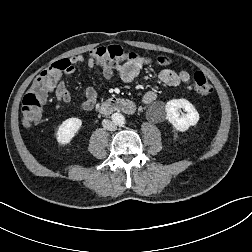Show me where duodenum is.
I'll return each mask as SVG.
<instances>
[{
	"label": "duodenum",
	"instance_id": "duodenum-1",
	"mask_svg": "<svg viewBox=\"0 0 252 252\" xmlns=\"http://www.w3.org/2000/svg\"><path fill=\"white\" fill-rule=\"evenodd\" d=\"M135 110L136 106L134 103L117 98L108 99L98 106V111L102 114H112L115 112H125L131 114L134 113Z\"/></svg>",
	"mask_w": 252,
	"mask_h": 252
}]
</instances>
